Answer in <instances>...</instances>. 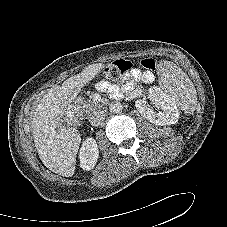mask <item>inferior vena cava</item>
I'll return each mask as SVG.
<instances>
[{"instance_id":"obj_1","label":"inferior vena cava","mask_w":227,"mask_h":227,"mask_svg":"<svg viewBox=\"0 0 227 227\" xmlns=\"http://www.w3.org/2000/svg\"><path fill=\"white\" fill-rule=\"evenodd\" d=\"M105 120V113L101 110L94 111L90 117L89 122L93 126H100Z\"/></svg>"}]
</instances>
